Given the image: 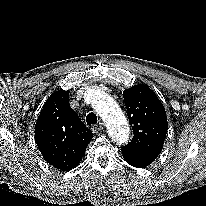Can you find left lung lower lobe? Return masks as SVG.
Masks as SVG:
<instances>
[{
  "mask_svg": "<svg viewBox=\"0 0 206 206\" xmlns=\"http://www.w3.org/2000/svg\"><path fill=\"white\" fill-rule=\"evenodd\" d=\"M124 160L137 168H144L151 164L158 156L155 153L136 151L130 148H121Z\"/></svg>",
  "mask_w": 206,
  "mask_h": 206,
  "instance_id": "left-lung-lower-lobe-1",
  "label": "left lung lower lobe"
}]
</instances>
